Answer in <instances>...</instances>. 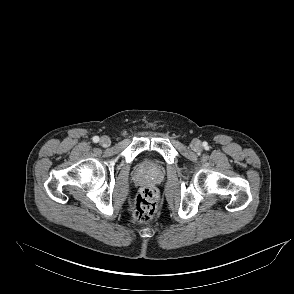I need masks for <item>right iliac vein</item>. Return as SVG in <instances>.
<instances>
[{
  "label": "right iliac vein",
  "instance_id": "1",
  "mask_svg": "<svg viewBox=\"0 0 294 294\" xmlns=\"http://www.w3.org/2000/svg\"><path fill=\"white\" fill-rule=\"evenodd\" d=\"M100 144L103 146V147H108L110 146L111 144V140L108 136H102L100 138Z\"/></svg>",
  "mask_w": 294,
  "mask_h": 294
}]
</instances>
